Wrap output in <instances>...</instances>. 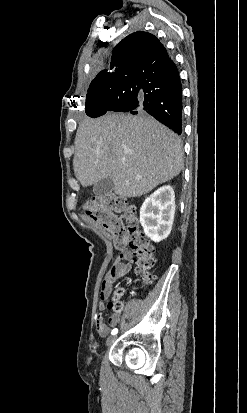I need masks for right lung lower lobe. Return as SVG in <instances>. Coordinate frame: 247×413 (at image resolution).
Wrapping results in <instances>:
<instances>
[{
	"label": "right lung lower lobe",
	"instance_id": "right-lung-lower-lobe-1",
	"mask_svg": "<svg viewBox=\"0 0 247 413\" xmlns=\"http://www.w3.org/2000/svg\"><path fill=\"white\" fill-rule=\"evenodd\" d=\"M124 82L127 86L124 94L110 97L88 116L99 117L109 111L147 113L181 135L182 87L172 60L160 71L131 74Z\"/></svg>",
	"mask_w": 247,
	"mask_h": 413
}]
</instances>
